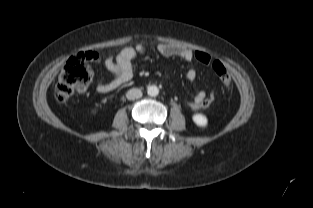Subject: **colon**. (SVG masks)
<instances>
[{"label":"colon","mask_w":313,"mask_h":208,"mask_svg":"<svg viewBox=\"0 0 313 208\" xmlns=\"http://www.w3.org/2000/svg\"><path fill=\"white\" fill-rule=\"evenodd\" d=\"M94 58V52H85L72 56L66 62L55 86L54 95L59 103H65L76 91L84 90L91 82L93 70L90 62ZM194 59L202 64H209L211 62L210 55L201 51L194 52ZM212 69L224 86L229 87L231 85V76L221 61H213ZM213 101L214 94L210 93L199 105V108H206Z\"/></svg>","instance_id":"colon-1"}]
</instances>
